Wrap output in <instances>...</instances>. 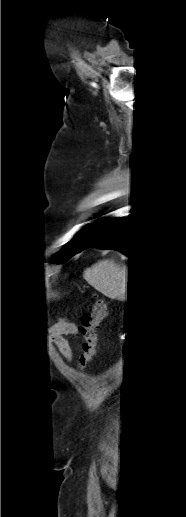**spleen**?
<instances>
[{
    "instance_id": "obj_1",
    "label": "spleen",
    "mask_w": 186,
    "mask_h": 517,
    "mask_svg": "<svg viewBox=\"0 0 186 517\" xmlns=\"http://www.w3.org/2000/svg\"><path fill=\"white\" fill-rule=\"evenodd\" d=\"M84 279L111 299H127L128 268L113 260H101L87 268Z\"/></svg>"
}]
</instances>
